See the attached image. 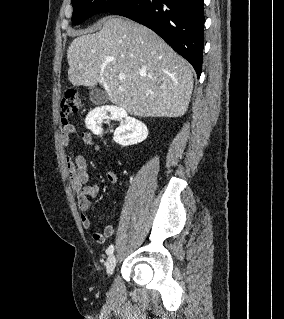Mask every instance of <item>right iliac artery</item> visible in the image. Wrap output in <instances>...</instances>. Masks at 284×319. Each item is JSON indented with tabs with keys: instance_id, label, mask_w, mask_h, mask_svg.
Returning <instances> with one entry per match:
<instances>
[{
	"instance_id": "right-iliac-artery-1",
	"label": "right iliac artery",
	"mask_w": 284,
	"mask_h": 319,
	"mask_svg": "<svg viewBox=\"0 0 284 319\" xmlns=\"http://www.w3.org/2000/svg\"><path fill=\"white\" fill-rule=\"evenodd\" d=\"M113 251H114V246H113V245H110V246L107 248L106 253H107L108 255H110V254L113 253Z\"/></svg>"
}]
</instances>
